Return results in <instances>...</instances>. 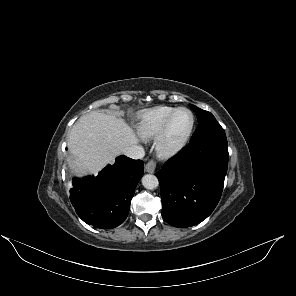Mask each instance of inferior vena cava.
I'll return each instance as SVG.
<instances>
[{"mask_svg": "<svg viewBox=\"0 0 296 296\" xmlns=\"http://www.w3.org/2000/svg\"><path fill=\"white\" fill-rule=\"evenodd\" d=\"M123 154L132 159H142L145 155V151L142 146L132 145L130 147H127L123 151Z\"/></svg>", "mask_w": 296, "mask_h": 296, "instance_id": "inferior-vena-cava-1", "label": "inferior vena cava"}]
</instances>
